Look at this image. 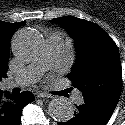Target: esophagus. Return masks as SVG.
Returning a JSON list of instances; mask_svg holds the SVG:
<instances>
[{"mask_svg": "<svg viewBox=\"0 0 125 125\" xmlns=\"http://www.w3.org/2000/svg\"><path fill=\"white\" fill-rule=\"evenodd\" d=\"M38 98H53V96L46 92H39L36 94Z\"/></svg>", "mask_w": 125, "mask_h": 125, "instance_id": "esophagus-1", "label": "esophagus"}]
</instances>
